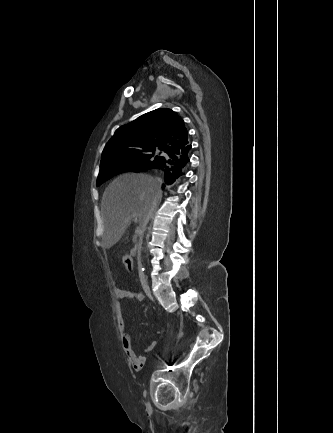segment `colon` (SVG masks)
Segmentation results:
<instances>
[{
    "instance_id": "5ec220e1",
    "label": "colon",
    "mask_w": 333,
    "mask_h": 433,
    "mask_svg": "<svg viewBox=\"0 0 333 433\" xmlns=\"http://www.w3.org/2000/svg\"><path fill=\"white\" fill-rule=\"evenodd\" d=\"M121 262L123 263L124 268H125L127 271H131V270L133 269L132 259H131L129 256H124V257L121 259Z\"/></svg>"
}]
</instances>
